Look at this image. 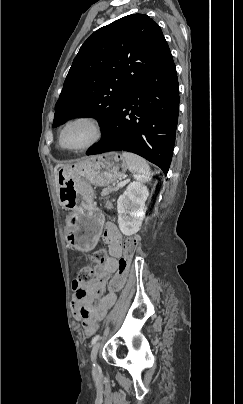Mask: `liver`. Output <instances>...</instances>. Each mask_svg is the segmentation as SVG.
<instances>
[{"instance_id": "obj_1", "label": "liver", "mask_w": 243, "mask_h": 404, "mask_svg": "<svg viewBox=\"0 0 243 404\" xmlns=\"http://www.w3.org/2000/svg\"><path fill=\"white\" fill-rule=\"evenodd\" d=\"M62 166H64V164H58V166H55L54 168V174H55V184H56V188H57V194H58V168H62Z\"/></svg>"}]
</instances>
